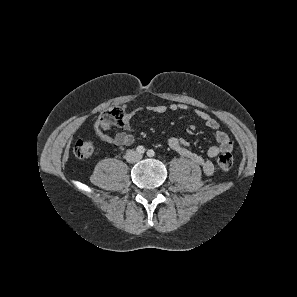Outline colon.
<instances>
[{"label":"colon","instance_id":"5ec220e1","mask_svg":"<svg viewBox=\"0 0 297 297\" xmlns=\"http://www.w3.org/2000/svg\"><path fill=\"white\" fill-rule=\"evenodd\" d=\"M126 114L120 107H111L102 112L99 116L98 123L104 128H108L112 125H122L125 121ZM74 155L79 159H87L92 156L94 152V146L91 141L80 139L73 148ZM218 166L221 171H229L233 165V156L230 152L222 153L218 160Z\"/></svg>","mask_w":297,"mask_h":297}]
</instances>
